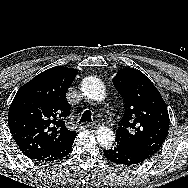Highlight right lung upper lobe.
<instances>
[{
    "instance_id": "obj_1",
    "label": "right lung upper lobe",
    "mask_w": 188,
    "mask_h": 188,
    "mask_svg": "<svg viewBox=\"0 0 188 188\" xmlns=\"http://www.w3.org/2000/svg\"><path fill=\"white\" fill-rule=\"evenodd\" d=\"M77 70L50 68L17 91L8 114L11 134L23 154L59 146L77 133L65 126L71 106L65 95Z\"/></svg>"
}]
</instances>
